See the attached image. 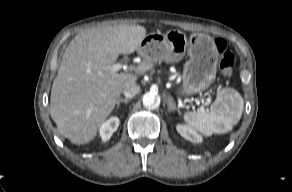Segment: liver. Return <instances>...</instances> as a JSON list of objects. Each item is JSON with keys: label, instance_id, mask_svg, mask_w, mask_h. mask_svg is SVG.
<instances>
[{"label": "liver", "instance_id": "obj_1", "mask_svg": "<svg viewBox=\"0 0 292 192\" xmlns=\"http://www.w3.org/2000/svg\"><path fill=\"white\" fill-rule=\"evenodd\" d=\"M145 36L143 26L115 25L86 29L72 39L50 96V115L61 135L74 144L96 137L125 85L153 68L144 60L126 72L111 70L118 56L136 51Z\"/></svg>", "mask_w": 292, "mask_h": 192}]
</instances>
